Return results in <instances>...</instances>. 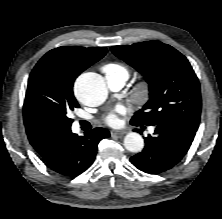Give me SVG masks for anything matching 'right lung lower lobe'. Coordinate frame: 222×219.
Masks as SVG:
<instances>
[{"instance_id":"obj_1","label":"right lung lower lobe","mask_w":222,"mask_h":219,"mask_svg":"<svg viewBox=\"0 0 222 219\" xmlns=\"http://www.w3.org/2000/svg\"><path fill=\"white\" fill-rule=\"evenodd\" d=\"M109 136V131L104 128L87 131L83 137L70 130L45 162L56 173L70 177L77 176L92 165L98 143Z\"/></svg>"}]
</instances>
